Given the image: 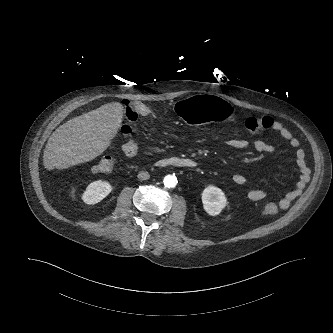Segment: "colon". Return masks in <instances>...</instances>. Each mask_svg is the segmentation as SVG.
Here are the masks:
<instances>
[{"label": "colon", "mask_w": 333, "mask_h": 333, "mask_svg": "<svg viewBox=\"0 0 333 333\" xmlns=\"http://www.w3.org/2000/svg\"><path fill=\"white\" fill-rule=\"evenodd\" d=\"M140 115L155 117V112L149 107L141 103H125V119L126 122L122 127L124 134H130L133 131V124ZM270 117H249L245 121L246 129L253 134H260L269 129L273 125ZM115 167V158L112 156H103L93 166V170L99 173H109ZM261 211L264 215L272 216L278 212V204L275 202H267L263 204Z\"/></svg>", "instance_id": "5ec220e1"}]
</instances>
